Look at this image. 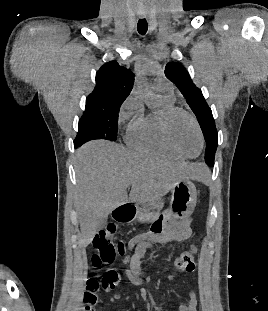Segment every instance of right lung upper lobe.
Returning a JSON list of instances; mask_svg holds the SVG:
<instances>
[{"label":"right lung upper lobe","instance_id":"1","mask_svg":"<svg viewBox=\"0 0 268 311\" xmlns=\"http://www.w3.org/2000/svg\"><path fill=\"white\" fill-rule=\"evenodd\" d=\"M134 84L132 71L116 61L105 63L96 73V86L87 100L122 105Z\"/></svg>","mask_w":268,"mask_h":311}]
</instances>
